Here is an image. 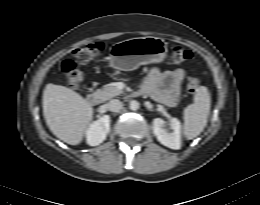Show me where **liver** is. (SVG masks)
Returning a JSON list of instances; mask_svg holds the SVG:
<instances>
[{
  "instance_id": "obj_1",
  "label": "liver",
  "mask_w": 260,
  "mask_h": 205,
  "mask_svg": "<svg viewBox=\"0 0 260 205\" xmlns=\"http://www.w3.org/2000/svg\"><path fill=\"white\" fill-rule=\"evenodd\" d=\"M43 115L50 131L60 140L78 145L93 118V108L77 92L49 83L43 91Z\"/></svg>"
}]
</instances>
